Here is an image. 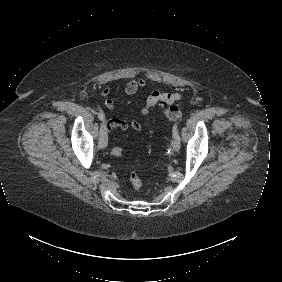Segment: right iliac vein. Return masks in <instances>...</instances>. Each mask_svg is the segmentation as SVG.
Returning a JSON list of instances; mask_svg holds the SVG:
<instances>
[{
  "instance_id": "obj_1",
  "label": "right iliac vein",
  "mask_w": 282,
  "mask_h": 282,
  "mask_svg": "<svg viewBox=\"0 0 282 282\" xmlns=\"http://www.w3.org/2000/svg\"><path fill=\"white\" fill-rule=\"evenodd\" d=\"M108 143L107 127L105 123H102L100 126V136H99V145L101 148H105Z\"/></svg>"
}]
</instances>
